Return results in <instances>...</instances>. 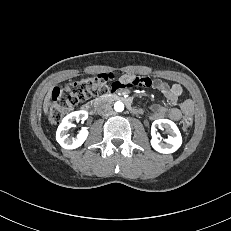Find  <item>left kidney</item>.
<instances>
[{
	"instance_id": "obj_1",
	"label": "left kidney",
	"mask_w": 231,
	"mask_h": 231,
	"mask_svg": "<svg viewBox=\"0 0 231 231\" xmlns=\"http://www.w3.org/2000/svg\"><path fill=\"white\" fill-rule=\"evenodd\" d=\"M157 128H163L170 134V136H168V138L165 140V143L161 142L158 139L156 135ZM151 135H152L151 145L156 151L160 153H164V154L173 153L182 144V137L178 127L174 122L168 119L155 120L152 123Z\"/></svg>"
}]
</instances>
